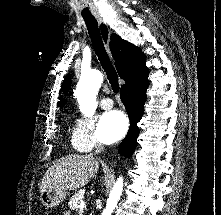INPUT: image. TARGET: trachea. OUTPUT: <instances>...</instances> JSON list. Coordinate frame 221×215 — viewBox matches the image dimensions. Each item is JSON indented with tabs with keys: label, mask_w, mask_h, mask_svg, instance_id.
Returning <instances> with one entry per match:
<instances>
[{
	"label": "trachea",
	"mask_w": 221,
	"mask_h": 215,
	"mask_svg": "<svg viewBox=\"0 0 221 215\" xmlns=\"http://www.w3.org/2000/svg\"><path fill=\"white\" fill-rule=\"evenodd\" d=\"M96 55L107 75L113 92H119L118 75L105 50L96 19H84Z\"/></svg>",
	"instance_id": "3493384b"
}]
</instances>
